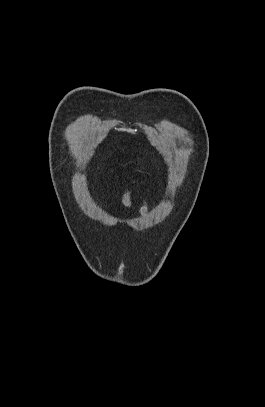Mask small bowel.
I'll use <instances>...</instances> for the list:
<instances>
[{
    "instance_id": "1",
    "label": "small bowel",
    "mask_w": 265,
    "mask_h": 407,
    "mask_svg": "<svg viewBox=\"0 0 265 407\" xmlns=\"http://www.w3.org/2000/svg\"><path fill=\"white\" fill-rule=\"evenodd\" d=\"M122 203L126 209H129L132 205V191L126 190L122 196ZM149 212L148 203L144 201L142 206L140 207V213L142 216H147Z\"/></svg>"
}]
</instances>
